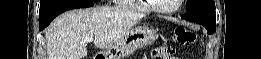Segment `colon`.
<instances>
[{
    "instance_id": "1",
    "label": "colon",
    "mask_w": 261,
    "mask_h": 59,
    "mask_svg": "<svg viewBox=\"0 0 261 59\" xmlns=\"http://www.w3.org/2000/svg\"><path fill=\"white\" fill-rule=\"evenodd\" d=\"M175 40L180 45H191L196 41V35L189 29L177 27L175 29ZM174 49L170 46H158L153 50V59H175Z\"/></svg>"
}]
</instances>
